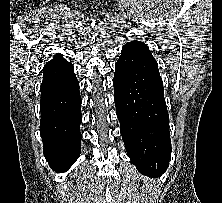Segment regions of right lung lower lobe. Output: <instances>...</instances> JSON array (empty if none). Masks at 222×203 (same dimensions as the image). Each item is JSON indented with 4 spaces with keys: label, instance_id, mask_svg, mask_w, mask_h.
<instances>
[{
    "label": "right lung lower lobe",
    "instance_id": "right-lung-lower-lobe-1",
    "mask_svg": "<svg viewBox=\"0 0 222 203\" xmlns=\"http://www.w3.org/2000/svg\"><path fill=\"white\" fill-rule=\"evenodd\" d=\"M40 133L46 160L56 172H64L81 149V97L73 65L52 59L43 69Z\"/></svg>",
    "mask_w": 222,
    "mask_h": 203
}]
</instances>
